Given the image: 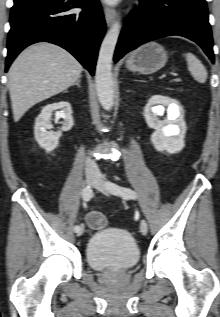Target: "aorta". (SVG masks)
<instances>
[{
	"label": "aorta",
	"instance_id": "762f6f07",
	"mask_svg": "<svg viewBox=\"0 0 220 317\" xmlns=\"http://www.w3.org/2000/svg\"><path fill=\"white\" fill-rule=\"evenodd\" d=\"M121 24L116 20L106 33L98 54L95 84L99 102L102 107L109 111L114 104V86L112 77V60L118 41Z\"/></svg>",
	"mask_w": 220,
	"mask_h": 317
}]
</instances>
